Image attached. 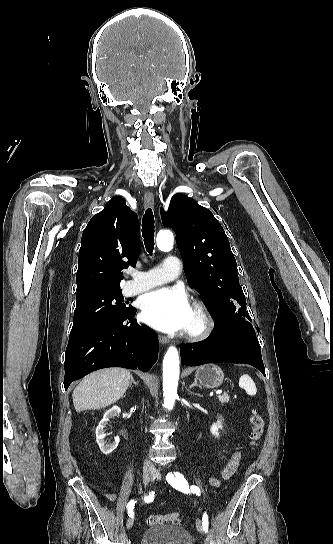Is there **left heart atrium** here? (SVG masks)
<instances>
[{
	"label": "left heart atrium",
	"mask_w": 333,
	"mask_h": 544,
	"mask_svg": "<svg viewBox=\"0 0 333 544\" xmlns=\"http://www.w3.org/2000/svg\"><path fill=\"white\" fill-rule=\"evenodd\" d=\"M192 308L180 288H161L146 294L141 301V317L151 327L174 332L188 328Z\"/></svg>",
	"instance_id": "39dd6f15"
}]
</instances>
